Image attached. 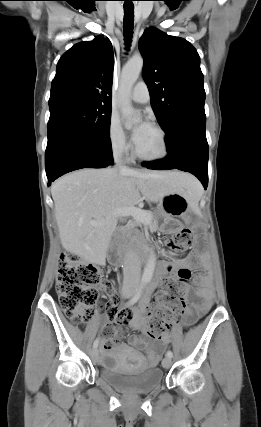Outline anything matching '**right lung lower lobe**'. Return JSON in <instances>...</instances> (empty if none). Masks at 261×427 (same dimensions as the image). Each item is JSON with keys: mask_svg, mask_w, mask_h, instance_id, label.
<instances>
[{"mask_svg": "<svg viewBox=\"0 0 261 427\" xmlns=\"http://www.w3.org/2000/svg\"><path fill=\"white\" fill-rule=\"evenodd\" d=\"M111 142H92L69 137L48 141L45 153L49 181L81 168H104L111 164Z\"/></svg>", "mask_w": 261, "mask_h": 427, "instance_id": "1", "label": "right lung lower lobe"}]
</instances>
